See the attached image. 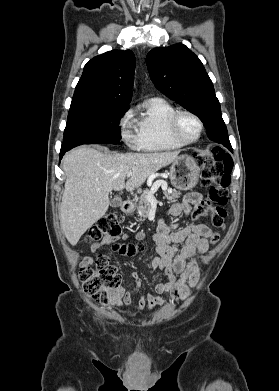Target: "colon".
Listing matches in <instances>:
<instances>
[{"instance_id":"5ec220e1","label":"colon","mask_w":279,"mask_h":391,"mask_svg":"<svg viewBox=\"0 0 279 391\" xmlns=\"http://www.w3.org/2000/svg\"><path fill=\"white\" fill-rule=\"evenodd\" d=\"M197 162L201 167L203 186L209 188L207 199L202 201L193 212V216H210L216 228L225 227L228 201V188L231 182L232 159L221 148L213 147L207 153H198ZM121 234L120 216L115 211L107 212L89 230V241L107 240L112 249L121 256H133L144 249L142 242L121 244L117 240ZM212 244L219 241V234L209 238ZM84 292L94 301L106 305L114 304L120 290L121 279L117 269L110 265L106 256H99L95 267L82 265L78 273Z\"/></svg>"}]
</instances>
